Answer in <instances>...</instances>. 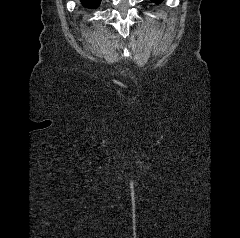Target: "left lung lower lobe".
<instances>
[{"instance_id":"1","label":"left lung lower lobe","mask_w":240,"mask_h":238,"mask_svg":"<svg viewBox=\"0 0 240 238\" xmlns=\"http://www.w3.org/2000/svg\"><path fill=\"white\" fill-rule=\"evenodd\" d=\"M151 1L155 2L156 4H159V3H161L163 0H151Z\"/></svg>"}]
</instances>
